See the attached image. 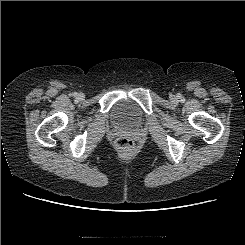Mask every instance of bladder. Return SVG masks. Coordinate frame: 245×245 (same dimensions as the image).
I'll use <instances>...</instances> for the list:
<instances>
[{
	"mask_svg": "<svg viewBox=\"0 0 245 245\" xmlns=\"http://www.w3.org/2000/svg\"><path fill=\"white\" fill-rule=\"evenodd\" d=\"M114 120L123 126L134 127L141 119V112L139 108L132 102H119L113 109Z\"/></svg>",
	"mask_w": 245,
	"mask_h": 245,
	"instance_id": "bladder-1",
	"label": "bladder"
}]
</instances>
